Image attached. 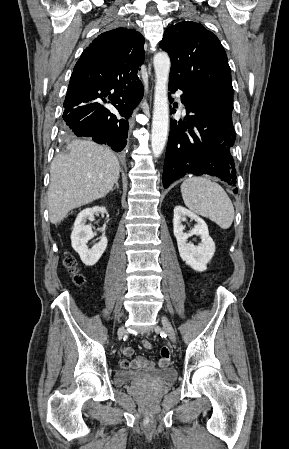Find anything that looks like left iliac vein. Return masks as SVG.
I'll return each instance as SVG.
<instances>
[{"label": "left iliac vein", "mask_w": 289, "mask_h": 449, "mask_svg": "<svg viewBox=\"0 0 289 449\" xmlns=\"http://www.w3.org/2000/svg\"><path fill=\"white\" fill-rule=\"evenodd\" d=\"M161 322H162V325H163V329L166 331V333H167L168 337L170 338V340L172 342H175L176 341V334L174 332V329H173L170 321L166 317L162 316L161 317Z\"/></svg>", "instance_id": "left-iliac-vein-1"}]
</instances>
